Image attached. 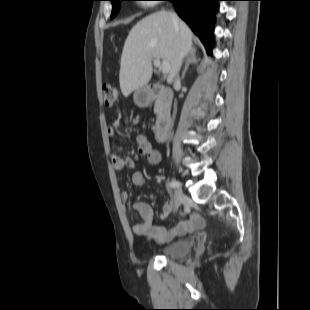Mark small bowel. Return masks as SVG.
Segmentation results:
<instances>
[{
    "label": "small bowel",
    "mask_w": 310,
    "mask_h": 310,
    "mask_svg": "<svg viewBox=\"0 0 310 310\" xmlns=\"http://www.w3.org/2000/svg\"><path fill=\"white\" fill-rule=\"evenodd\" d=\"M108 136L114 140L118 136V131L115 127L110 126L107 129ZM134 145L140 155L145 156L147 161L152 165H158L162 162L160 152L153 147L151 142L145 135H138L134 140ZM112 164L115 171L120 172L125 168H134L135 163L132 158L120 155L116 150L112 151ZM131 181L135 186H141L146 179L140 172H134L131 176ZM121 198L124 202L129 200V194L126 191L121 193ZM175 208V201L169 200L165 202L161 218ZM133 211L139 217V221L132 227L133 232L138 236H145L158 243H164L175 239L178 236L187 233H193L204 225V219L200 214H193L188 219H183L170 228L153 225V210L149 204L145 202H135L132 205Z\"/></svg>",
    "instance_id": "c3829d8e"
}]
</instances>
